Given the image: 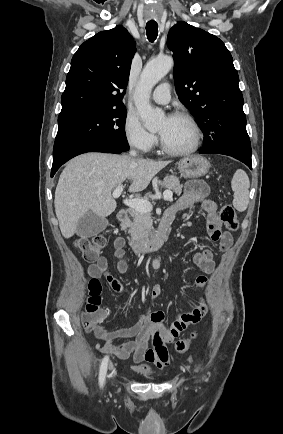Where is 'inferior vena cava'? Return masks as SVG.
Returning a JSON list of instances; mask_svg holds the SVG:
<instances>
[{"label":"inferior vena cava","instance_id":"inferior-vena-cava-1","mask_svg":"<svg viewBox=\"0 0 283 434\" xmlns=\"http://www.w3.org/2000/svg\"><path fill=\"white\" fill-rule=\"evenodd\" d=\"M130 155L135 157V156H137V153H136V151L132 150V151H130Z\"/></svg>","mask_w":283,"mask_h":434}]
</instances>
